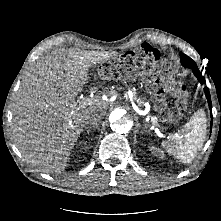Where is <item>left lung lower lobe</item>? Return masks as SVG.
<instances>
[{"mask_svg":"<svg viewBox=\"0 0 221 221\" xmlns=\"http://www.w3.org/2000/svg\"><path fill=\"white\" fill-rule=\"evenodd\" d=\"M193 70V73L195 74V76L197 77L198 81L201 83V84H204L205 83V79L204 77L202 76L201 72L199 71L198 67H194V68H191ZM204 91H205V95H206V98L208 100V104H209V109L212 113V105H211V98H210V93H209V89L208 87H204ZM212 117V115H211ZM211 126H212V121H211Z\"/></svg>","mask_w":221,"mask_h":221,"instance_id":"left-lung-lower-lobe-1","label":"left lung lower lobe"}]
</instances>
